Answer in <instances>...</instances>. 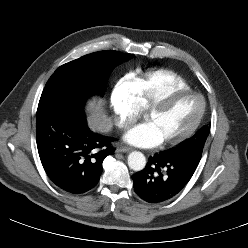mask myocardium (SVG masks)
I'll return each instance as SVG.
<instances>
[{"instance_id":"1","label":"myocardium","mask_w":248,"mask_h":248,"mask_svg":"<svg viewBox=\"0 0 248 248\" xmlns=\"http://www.w3.org/2000/svg\"><path fill=\"white\" fill-rule=\"evenodd\" d=\"M189 95L198 97L200 99V102H201L200 112H199L196 120L181 135H179L175 138H171V139L162 141L160 143L162 146L172 147V146L179 145V144L183 143L184 141H186L188 138H190L196 132V130L199 128V126H200V124H201V122L205 116V113H206V107H207L206 99L201 93L193 91V90H173V91H170V92L166 93L165 95L161 96L160 98L154 100L146 108L145 117L149 114L156 112V111L164 109L166 106H168L173 101H175L181 97L189 96Z\"/></svg>"}]
</instances>
